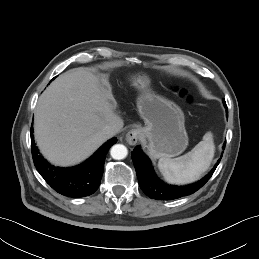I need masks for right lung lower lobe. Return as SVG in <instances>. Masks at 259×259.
I'll return each instance as SVG.
<instances>
[{"label": "right lung lower lobe", "instance_id": "obj_1", "mask_svg": "<svg viewBox=\"0 0 259 259\" xmlns=\"http://www.w3.org/2000/svg\"><path fill=\"white\" fill-rule=\"evenodd\" d=\"M31 127V151L36 169L44 180L56 192L73 198L89 196L94 193L101 182L105 155L117 142L116 138L105 143L90 159L72 168L54 167L40 155L34 143Z\"/></svg>", "mask_w": 259, "mask_h": 259}]
</instances>
